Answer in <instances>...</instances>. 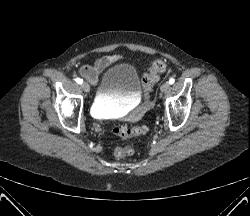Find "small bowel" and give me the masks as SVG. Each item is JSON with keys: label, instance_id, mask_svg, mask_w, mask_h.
Masks as SVG:
<instances>
[{"label": "small bowel", "instance_id": "c3829d8e", "mask_svg": "<svg viewBox=\"0 0 250 216\" xmlns=\"http://www.w3.org/2000/svg\"><path fill=\"white\" fill-rule=\"evenodd\" d=\"M119 58L115 55L101 57L92 65L82 66L79 69V74L91 84H96L99 74Z\"/></svg>", "mask_w": 250, "mask_h": 216}]
</instances>
